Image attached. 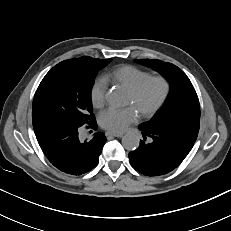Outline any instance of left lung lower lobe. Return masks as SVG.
<instances>
[{"mask_svg":"<svg viewBox=\"0 0 231 231\" xmlns=\"http://www.w3.org/2000/svg\"><path fill=\"white\" fill-rule=\"evenodd\" d=\"M143 138L139 147L129 153V161L138 172L159 176L171 172L188 155L192 149L197 135L173 129L139 127Z\"/></svg>","mask_w":231,"mask_h":231,"instance_id":"obj_1","label":"left lung lower lobe"}]
</instances>
